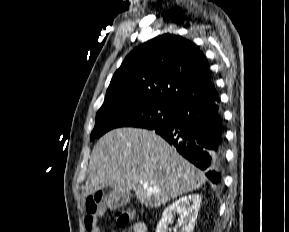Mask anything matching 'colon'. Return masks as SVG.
Listing matches in <instances>:
<instances>
[{
  "mask_svg": "<svg viewBox=\"0 0 289 232\" xmlns=\"http://www.w3.org/2000/svg\"><path fill=\"white\" fill-rule=\"evenodd\" d=\"M105 211H111L113 213V217L119 227L127 226L132 218V212L129 209H111L104 207L101 196H91L87 199L85 208L84 225L87 232H100L98 217Z\"/></svg>",
  "mask_w": 289,
  "mask_h": 232,
  "instance_id": "5ec220e1",
  "label": "colon"
}]
</instances>
